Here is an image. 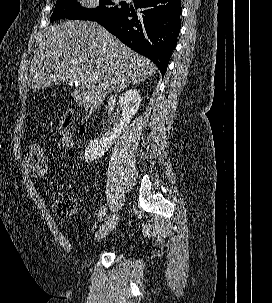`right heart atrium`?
<instances>
[{"mask_svg": "<svg viewBox=\"0 0 272 303\" xmlns=\"http://www.w3.org/2000/svg\"><path fill=\"white\" fill-rule=\"evenodd\" d=\"M100 0H82V3L86 7L94 8L99 5Z\"/></svg>", "mask_w": 272, "mask_h": 303, "instance_id": "right-heart-atrium-1", "label": "right heart atrium"}]
</instances>
